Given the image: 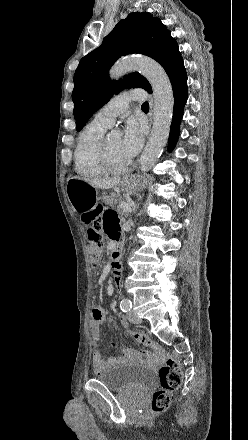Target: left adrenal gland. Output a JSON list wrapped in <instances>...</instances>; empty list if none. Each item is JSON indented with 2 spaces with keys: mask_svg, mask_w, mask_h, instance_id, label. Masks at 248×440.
<instances>
[{
  "mask_svg": "<svg viewBox=\"0 0 248 440\" xmlns=\"http://www.w3.org/2000/svg\"><path fill=\"white\" fill-rule=\"evenodd\" d=\"M138 209V205H136L133 209V211L135 212Z\"/></svg>",
  "mask_w": 248,
  "mask_h": 440,
  "instance_id": "1",
  "label": "left adrenal gland"
}]
</instances>
